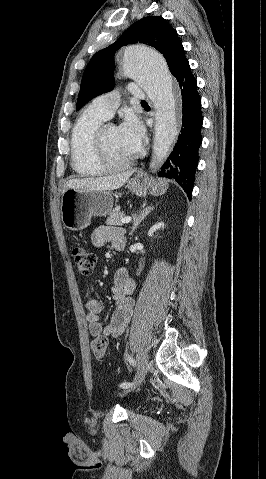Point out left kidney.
Instances as JSON below:
<instances>
[{
    "instance_id": "left-kidney-1",
    "label": "left kidney",
    "mask_w": 266,
    "mask_h": 479,
    "mask_svg": "<svg viewBox=\"0 0 266 479\" xmlns=\"http://www.w3.org/2000/svg\"><path fill=\"white\" fill-rule=\"evenodd\" d=\"M159 229H164V223L163 222H160V223H157V224L153 225L148 231V236L152 237L153 234Z\"/></svg>"
}]
</instances>
